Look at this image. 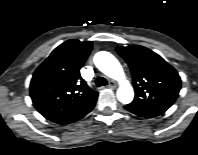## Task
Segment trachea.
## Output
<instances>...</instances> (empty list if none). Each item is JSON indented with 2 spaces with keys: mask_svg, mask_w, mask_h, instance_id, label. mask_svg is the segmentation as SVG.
I'll use <instances>...</instances> for the list:
<instances>
[{
  "mask_svg": "<svg viewBox=\"0 0 198 155\" xmlns=\"http://www.w3.org/2000/svg\"><path fill=\"white\" fill-rule=\"evenodd\" d=\"M97 87L105 86L107 85V80L104 77H98L95 81Z\"/></svg>",
  "mask_w": 198,
  "mask_h": 155,
  "instance_id": "obj_1",
  "label": "trachea"
}]
</instances>
